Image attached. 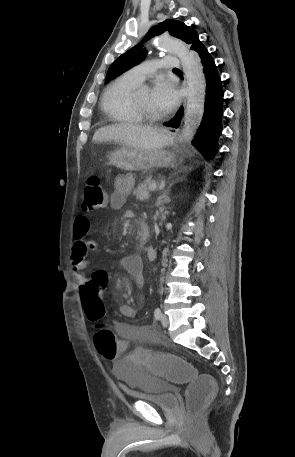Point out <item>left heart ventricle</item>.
Masks as SVG:
<instances>
[{"mask_svg": "<svg viewBox=\"0 0 295 457\" xmlns=\"http://www.w3.org/2000/svg\"><path fill=\"white\" fill-rule=\"evenodd\" d=\"M137 98H138L139 103L144 108L149 110L150 112H153V113H160L161 112L154 105L153 100H152V96H151V91L149 89H144V88L141 89L138 92Z\"/></svg>", "mask_w": 295, "mask_h": 457, "instance_id": "obj_1", "label": "left heart ventricle"}]
</instances>
